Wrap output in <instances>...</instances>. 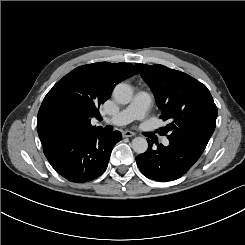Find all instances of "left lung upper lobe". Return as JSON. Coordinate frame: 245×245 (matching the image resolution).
Listing matches in <instances>:
<instances>
[{"label": "left lung upper lobe", "mask_w": 245, "mask_h": 245, "mask_svg": "<svg viewBox=\"0 0 245 245\" xmlns=\"http://www.w3.org/2000/svg\"><path fill=\"white\" fill-rule=\"evenodd\" d=\"M141 77L153 91L162 115L170 123L160 135L205 149L214 132L217 107L205 85L166 66L136 64Z\"/></svg>", "instance_id": "left-lung-upper-lobe-1"}]
</instances>
